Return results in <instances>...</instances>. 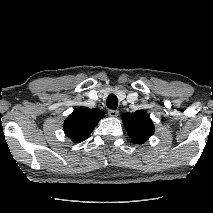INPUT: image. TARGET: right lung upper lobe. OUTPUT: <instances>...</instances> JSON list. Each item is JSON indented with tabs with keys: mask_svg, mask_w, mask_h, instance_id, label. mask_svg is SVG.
Wrapping results in <instances>:
<instances>
[{
	"mask_svg": "<svg viewBox=\"0 0 213 213\" xmlns=\"http://www.w3.org/2000/svg\"><path fill=\"white\" fill-rule=\"evenodd\" d=\"M105 117L103 111L79 107L64 121L65 134L75 143L86 140L101 118Z\"/></svg>",
	"mask_w": 213,
	"mask_h": 213,
	"instance_id": "1",
	"label": "right lung upper lobe"
}]
</instances>
